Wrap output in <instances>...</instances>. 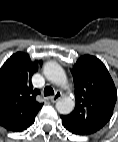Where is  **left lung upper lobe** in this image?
Here are the masks:
<instances>
[{
  "mask_svg": "<svg viewBox=\"0 0 118 142\" xmlns=\"http://www.w3.org/2000/svg\"><path fill=\"white\" fill-rule=\"evenodd\" d=\"M75 85V109L62 120L87 134L100 130L110 120L117 90L105 65L96 57L84 55L72 69Z\"/></svg>",
  "mask_w": 118,
  "mask_h": 142,
  "instance_id": "1",
  "label": "left lung upper lobe"
}]
</instances>
